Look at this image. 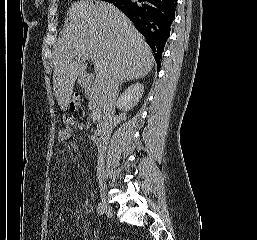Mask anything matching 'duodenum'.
Masks as SVG:
<instances>
[{
    "instance_id": "1",
    "label": "duodenum",
    "mask_w": 257,
    "mask_h": 240,
    "mask_svg": "<svg viewBox=\"0 0 257 240\" xmlns=\"http://www.w3.org/2000/svg\"><path fill=\"white\" fill-rule=\"evenodd\" d=\"M109 134L108 126L104 123H98L93 134V142L97 148H102Z\"/></svg>"
}]
</instances>
